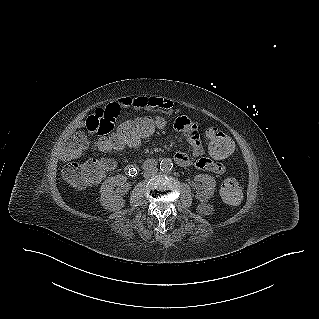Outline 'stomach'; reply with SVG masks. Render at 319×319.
<instances>
[{"instance_id": "1", "label": "stomach", "mask_w": 319, "mask_h": 319, "mask_svg": "<svg viewBox=\"0 0 319 319\" xmlns=\"http://www.w3.org/2000/svg\"><path fill=\"white\" fill-rule=\"evenodd\" d=\"M151 114H153V113H148L146 116L149 117Z\"/></svg>"}]
</instances>
